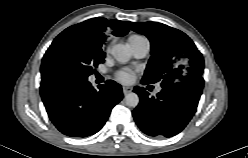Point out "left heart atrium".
Instances as JSON below:
<instances>
[{"label": "left heart atrium", "mask_w": 248, "mask_h": 158, "mask_svg": "<svg viewBox=\"0 0 248 158\" xmlns=\"http://www.w3.org/2000/svg\"><path fill=\"white\" fill-rule=\"evenodd\" d=\"M115 78L122 83H130L133 79V72L129 69H121L115 73Z\"/></svg>", "instance_id": "obj_1"}]
</instances>
